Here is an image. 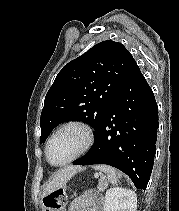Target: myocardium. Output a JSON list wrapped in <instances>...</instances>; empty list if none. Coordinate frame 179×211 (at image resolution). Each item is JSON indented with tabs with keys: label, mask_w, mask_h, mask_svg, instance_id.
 <instances>
[{
	"label": "myocardium",
	"mask_w": 179,
	"mask_h": 211,
	"mask_svg": "<svg viewBox=\"0 0 179 211\" xmlns=\"http://www.w3.org/2000/svg\"><path fill=\"white\" fill-rule=\"evenodd\" d=\"M69 128H74V129L79 130L83 135V142H82L80 148L77 150V152L71 158H69L67 161H65L63 163L54 164L50 161L49 156H48L49 145H50L51 141L55 138L56 135H58L63 130H66ZM93 142H94L93 130L88 123L81 121V120H70V121H67V122L61 124L60 126H58L53 131V133L50 135V137L48 138V140L45 144V150H44L45 158L51 166L63 167V166H66V165L72 163L77 158H79L81 155L86 153L93 145Z\"/></svg>",
	"instance_id": "myocardium-1"
}]
</instances>
